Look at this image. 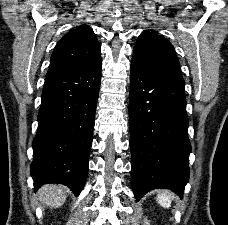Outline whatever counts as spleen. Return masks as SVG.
I'll list each match as a JSON object with an SVG mask.
<instances>
[{"mask_svg": "<svg viewBox=\"0 0 228 225\" xmlns=\"http://www.w3.org/2000/svg\"><path fill=\"white\" fill-rule=\"evenodd\" d=\"M172 199L173 193L171 191H160L159 195H157V201L164 209L171 207Z\"/></svg>", "mask_w": 228, "mask_h": 225, "instance_id": "obj_1", "label": "spleen"}]
</instances>
